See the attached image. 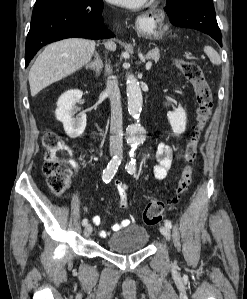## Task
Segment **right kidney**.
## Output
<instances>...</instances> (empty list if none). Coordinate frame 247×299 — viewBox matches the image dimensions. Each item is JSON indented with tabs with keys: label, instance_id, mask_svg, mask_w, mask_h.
Here are the masks:
<instances>
[{
	"label": "right kidney",
	"instance_id": "obj_1",
	"mask_svg": "<svg viewBox=\"0 0 247 299\" xmlns=\"http://www.w3.org/2000/svg\"><path fill=\"white\" fill-rule=\"evenodd\" d=\"M82 95L80 90H69L61 95L57 102L56 118L63 123L64 131L70 138L81 136L86 128L87 119L84 111L74 117L80 110L76 104L81 101Z\"/></svg>",
	"mask_w": 247,
	"mask_h": 299
}]
</instances>
